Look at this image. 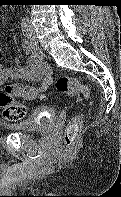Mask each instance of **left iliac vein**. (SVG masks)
Returning a JSON list of instances; mask_svg holds the SVG:
<instances>
[{
    "mask_svg": "<svg viewBox=\"0 0 121 197\" xmlns=\"http://www.w3.org/2000/svg\"><path fill=\"white\" fill-rule=\"evenodd\" d=\"M31 34L33 35L34 43L37 44V40H36V37H35V32H34V29L32 27H31Z\"/></svg>",
    "mask_w": 121,
    "mask_h": 197,
    "instance_id": "1",
    "label": "left iliac vein"
}]
</instances>
